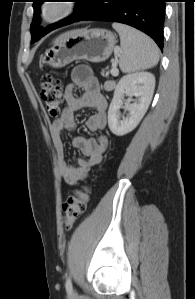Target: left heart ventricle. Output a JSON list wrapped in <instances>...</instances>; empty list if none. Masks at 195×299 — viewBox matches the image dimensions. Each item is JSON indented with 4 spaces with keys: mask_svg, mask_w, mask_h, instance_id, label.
Wrapping results in <instances>:
<instances>
[{
    "mask_svg": "<svg viewBox=\"0 0 195 299\" xmlns=\"http://www.w3.org/2000/svg\"><path fill=\"white\" fill-rule=\"evenodd\" d=\"M56 13H57V9H55V8H49L47 11V14L49 17L54 16Z\"/></svg>",
    "mask_w": 195,
    "mask_h": 299,
    "instance_id": "obj_1",
    "label": "left heart ventricle"
}]
</instances>
